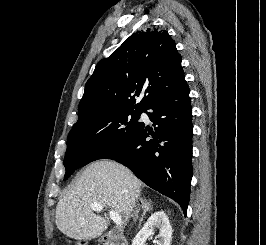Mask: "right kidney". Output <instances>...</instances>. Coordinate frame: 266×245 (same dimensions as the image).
Wrapping results in <instances>:
<instances>
[{"label": "right kidney", "mask_w": 266, "mask_h": 245, "mask_svg": "<svg viewBox=\"0 0 266 245\" xmlns=\"http://www.w3.org/2000/svg\"><path fill=\"white\" fill-rule=\"evenodd\" d=\"M155 229H159L157 245H171L172 227L164 211H157L149 217L147 223L134 237L132 245H144L149 237H153Z\"/></svg>", "instance_id": "ca27d5eb"}]
</instances>
